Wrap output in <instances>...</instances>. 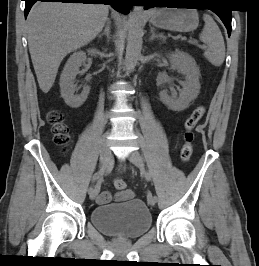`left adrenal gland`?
I'll list each match as a JSON object with an SVG mask.
<instances>
[{
    "label": "left adrenal gland",
    "instance_id": "obj_1",
    "mask_svg": "<svg viewBox=\"0 0 259 266\" xmlns=\"http://www.w3.org/2000/svg\"><path fill=\"white\" fill-rule=\"evenodd\" d=\"M151 36L149 38V41H153L154 39H163L165 40V36L162 34H156L155 29L153 27L150 28Z\"/></svg>",
    "mask_w": 259,
    "mask_h": 266
}]
</instances>
